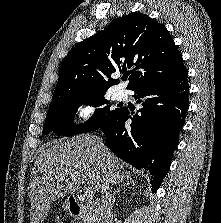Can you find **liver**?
<instances>
[{
	"instance_id": "1",
	"label": "liver",
	"mask_w": 221,
	"mask_h": 223,
	"mask_svg": "<svg viewBox=\"0 0 221 223\" xmlns=\"http://www.w3.org/2000/svg\"><path fill=\"white\" fill-rule=\"evenodd\" d=\"M97 139V136L82 134L40 149L28 190L30 223H43L51 204L73 193L81 182L99 193L104 178L115 185L130 178L122 161L105 146L100 149ZM71 175H76L80 183L60 184Z\"/></svg>"
}]
</instances>
